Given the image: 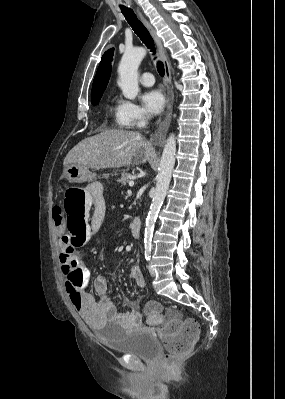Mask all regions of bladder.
Here are the masks:
<instances>
[{
    "mask_svg": "<svg viewBox=\"0 0 285 399\" xmlns=\"http://www.w3.org/2000/svg\"><path fill=\"white\" fill-rule=\"evenodd\" d=\"M92 329L104 335V343L115 352L146 360H155L159 357V344L146 329H131L122 337L108 335V333L102 332L98 326H92Z\"/></svg>",
    "mask_w": 285,
    "mask_h": 399,
    "instance_id": "obj_1",
    "label": "bladder"
}]
</instances>
